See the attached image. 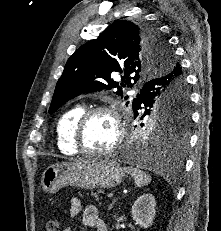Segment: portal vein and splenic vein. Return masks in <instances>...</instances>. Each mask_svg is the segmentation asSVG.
<instances>
[{
	"label": "portal vein and splenic vein",
	"mask_w": 221,
	"mask_h": 231,
	"mask_svg": "<svg viewBox=\"0 0 221 231\" xmlns=\"http://www.w3.org/2000/svg\"><path fill=\"white\" fill-rule=\"evenodd\" d=\"M107 197H108V198H112V197H113V193H108V194H107Z\"/></svg>",
	"instance_id": "1"
}]
</instances>
